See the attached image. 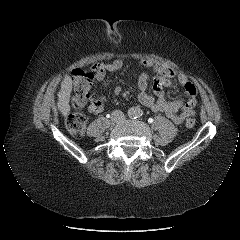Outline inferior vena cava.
Wrapping results in <instances>:
<instances>
[{"mask_svg":"<svg viewBox=\"0 0 240 240\" xmlns=\"http://www.w3.org/2000/svg\"><path fill=\"white\" fill-rule=\"evenodd\" d=\"M124 120H125V115L123 114L122 111H120V110L113 111L112 121H114L115 123H121Z\"/></svg>","mask_w":240,"mask_h":240,"instance_id":"1","label":"inferior vena cava"}]
</instances>
